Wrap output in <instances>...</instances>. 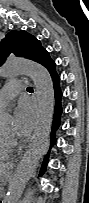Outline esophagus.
Wrapping results in <instances>:
<instances>
[{"mask_svg":"<svg viewBox=\"0 0 89 203\" xmlns=\"http://www.w3.org/2000/svg\"><path fill=\"white\" fill-rule=\"evenodd\" d=\"M35 97H37V93L35 92Z\"/></svg>","mask_w":89,"mask_h":203,"instance_id":"1","label":"esophagus"}]
</instances>
